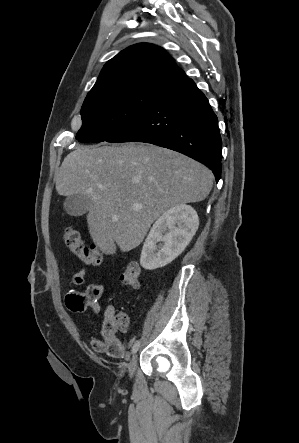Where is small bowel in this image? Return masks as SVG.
<instances>
[{
    "instance_id": "small-bowel-1",
    "label": "small bowel",
    "mask_w": 299,
    "mask_h": 443,
    "mask_svg": "<svg viewBox=\"0 0 299 443\" xmlns=\"http://www.w3.org/2000/svg\"><path fill=\"white\" fill-rule=\"evenodd\" d=\"M86 268H82L71 278V284L82 285L85 280ZM104 292V285L100 280L87 285L84 291H70L66 295L65 303L67 308L73 312H82L91 308L95 313L100 312L99 301ZM126 315V314H125ZM115 316V310L108 306L103 314L102 337L94 336L91 338L90 345L94 352L105 353L112 358H122L126 356L125 348L117 337L116 333L110 331L109 322ZM127 318V316H126Z\"/></svg>"
}]
</instances>
